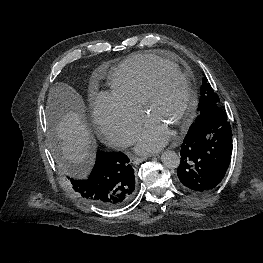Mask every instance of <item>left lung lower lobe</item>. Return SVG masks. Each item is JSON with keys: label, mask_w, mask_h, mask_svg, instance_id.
<instances>
[{"label": "left lung lower lobe", "mask_w": 263, "mask_h": 263, "mask_svg": "<svg viewBox=\"0 0 263 263\" xmlns=\"http://www.w3.org/2000/svg\"><path fill=\"white\" fill-rule=\"evenodd\" d=\"M231 154V124L227 114L216 107L186 134L180 149L178 178L190 190L209 191L224 178Z\"/></svg>", "instance_id": "left-lung-lower-lobe-1"}]
</instances>
